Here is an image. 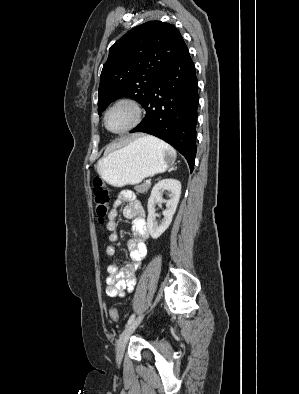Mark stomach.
I'll list each match as a JSON object with an SVG mask.
<instances>
[{
	"mask_svg": "<svg viewBox=\"0 0 299 394\" xmlns=\"http://www.w3.org/2000/svg\"><path fill=\"white\" fill-rule=\"evenodd\" d=\"M175 157L153 137L146 136L106 153L97 162L96 170L113 186L136 185L147 177L166 171L175 162Z\"/></svg>",
	"mask_w": 299,
	"mask_h": 394,
	"instance_id": "1",
	"label": "stomach"
}]
</instances>
